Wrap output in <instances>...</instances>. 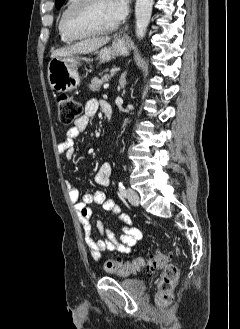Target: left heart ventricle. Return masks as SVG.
<instances>
[{"label": "left heart ventricle", "instance_id": "left-heart-ventricle-1", "mask_svg": "<svg viewBox=\"0 0 240 329\" xmlns=\"http://www.w3.org/2000/svg\"><path fill=\"white\" fill-rule=\"evenodd\" d=\"M116 20L109 11L107 0H95L90 8L76 17L73 26L78 30L89 28H104L115 24Z\"/></svg>", "mask_w": 240, "mask_h": 329}]
</instances>
